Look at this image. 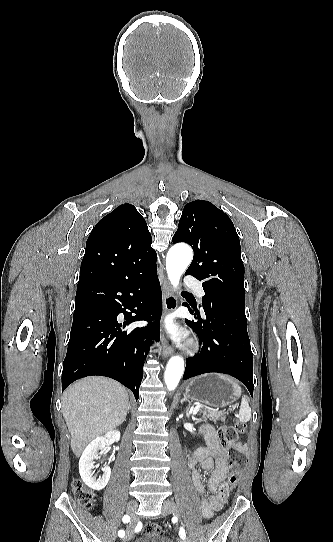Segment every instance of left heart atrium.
Segmentation results:
<instances>
[{
  "mask_svg": "<svg viewBox=\"0 0 333 542\" xmlns=\"http://www.w3.org/2000/svg\"><path fill=\"white\" fill-rule=\"evenodd\" d=\"M167 326L170 330V332L177 338V339H183L186 336V333L183 329L179 328V326L173 321L168 320Z\"/></svg>",
  "mask_w": 333,
  "mask_h": 542,
  "instance_id": "left-heart-atrium-1",
  "label": "left heart atrium"
}]
</instances>
